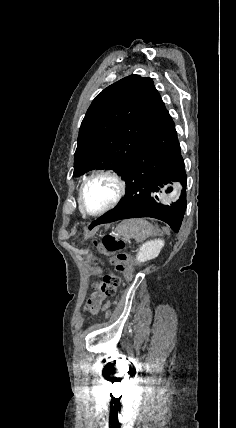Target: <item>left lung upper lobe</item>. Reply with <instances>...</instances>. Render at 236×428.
Masks as SVG:
<instances>
[{"label":"left lung upper lobe","mask_w":236,"mask_h":428,"mask_svg":"<svg viewBox=\"0 0 236 428\" xmlns=\"http://www.w3.org/2000/svg\"><path fill=\"white\" fill-rule=\"evenodd\" d=\"M165 111L151 78L130 75L105 88L82 121L73 175L112 169L122 176L144 136Z\"/></svg>","instance_id":"1"}]
</instances>
